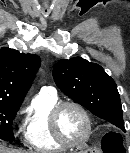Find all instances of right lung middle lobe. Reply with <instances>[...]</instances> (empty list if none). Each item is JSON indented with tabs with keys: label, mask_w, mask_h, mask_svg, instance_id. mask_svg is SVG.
<instances>
[{
	"label": "right lung middle lobe",
	"mask_w": 130,
	"mask_h": 153,
	"mask_svg": "<svg viewBox=\"0 0 130 153\" xmlns=\"http://www.w3.org/2000/svg\"><path fill=\"white\" fill-rule=\"evenodd\" d=\"M21 103L0 101V139L13 142L14 134L12 121L20 108Z\"/></svg>",
	"instance_id": "1"
}]
</instances>
